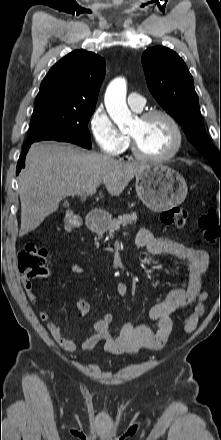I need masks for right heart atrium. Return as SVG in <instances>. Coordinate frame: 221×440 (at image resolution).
Wrapping results in <instances>:
<instances>
[{
  "instance_id": "1",
  "label": "right heart atrium",
  "mask_w": 221,
  "mask_h": 440,
  "mask_svg": "<svg viewBox=\"0 0 221 440\" xmlns=\"http://www.w3.org/2000/svg\"><path fill=\"white\" fill-rule=\"evenodd\" d=\"M89 129L99 150L106 155L118 156L129 146L128 137L118 129L103 106L92 112Z\"/></svg>"
}]
</instances>
